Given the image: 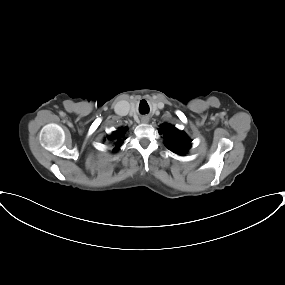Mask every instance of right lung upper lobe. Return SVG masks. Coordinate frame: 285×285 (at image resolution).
<instances>
[{
    "mask_svg": "<svg viewBox=\"0 0 285 285\" xmlns=\"http://www.w3.org/2000/svg\"><path fill=\"white\" fill-rule=\"evenodd\" d=\"M127 129L128 128H120L119 130L113 132L112 135L108 137L110 140H114V142L116 144L113 151H117L119 149L120 145L123 143L122 138H123L124 134L126 133Z\"/></svg>",
    "mask_w": 285,
    "mask_h": 285,
    "instance_id": "right-lung-upper-lobe-1",
    "label": "right lung upper lobe"
}]
</instances>
